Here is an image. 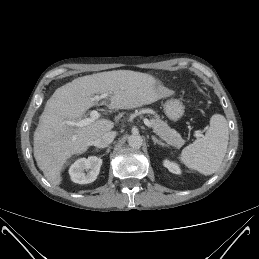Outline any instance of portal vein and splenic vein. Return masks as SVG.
<instances>
[{"instance_id":"obj_1","label":"portal vein and splenic vein","mask_w":259,"mask_h":259,"mask_svg":"<svg viewBox=\"0 0 259 259\" xmlns=\"http://www.w3.org/2000/svg\"><path fill=\"white\" fill-rule=\"evenodd\" d=\"M107 96H109L108 93H104V94H101V95H96V96L93 98V100L99 101V100H101V99L106 98ZM99 117H100V113L97 112L96 110H93V111H91V113H90V117L81 119V120H79V121H77V122H71V121H69L68 124H69V125H72V126H77V127H84V126H87V125L93 123V122H94L96 119H98ZM143 121H144V123H145L146 126H148L149 128L152 127L151 122H150L147 118H144Z\"/></svg>"}]
</instances>
